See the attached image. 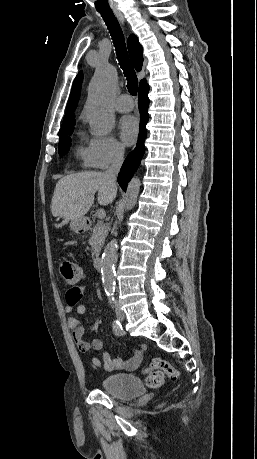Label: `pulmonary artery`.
<instances>
[{
	"instance_id": "pulmonary-artery-1",
	"label": "pulmonary artery",
	"mask_w": 257,
	"mask_h": 459,
	"mask_svg": "<svg viewBox=\"0 0 257 459\" xmlns=\"http://www.w3.org/2000/svg\"><path fill=\"white\" fill-rule=\"evenodd\" d=\"M114 106L119 112H128L133 109L134 103L128 94H122L116 99Z\"/></svg>"
}]
</instances>
